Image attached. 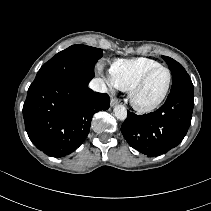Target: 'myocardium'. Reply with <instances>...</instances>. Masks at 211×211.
Wrapping results in <instances>:
<instances>
[{
  "mask_svg": "<svg viewBox=\"0 0 211 211\" xmlns=\"http://www.w3.org/2000/svg\"><path fill=\"white\" fill-rule=\"evenodd\" d=\"M158 69H164L168 73V81H167L166 87L163 93L161 94V96L154 102L149 103V104L141 103L139 101V94L142 88L144 87L149 76ZM171 84H172V73L168 67L163 66V65H157L155 67L148 69L130 90L129 98H130L131 105L133 106L135 110H137L140 113H151L157 110L166 100L171 88Z\"/></svg>",
  "mask_w": 211,
  "mask_h": 211,
  "instance_id": "myocardium-1",
  "label": "myocardium"
}]
</instances>
